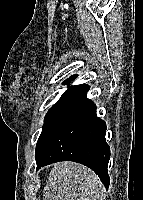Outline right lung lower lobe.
<instances>
[{
	"label": "right lung lower lobe",
	"mask_w": 143,
	"mask_h": 200,
	"mask_svg": "<svg viewBox=\"0 0 143 200\" xmlns=\"http://www.w3.org/2000/svg\"><path fill=\"white\" fill-rule=\"evenodd\" d=\"M88 90L85 84L68 86L46 114L36 145L37 170L58 161H75L91 168L108 188L110 148L105 140L106 124L97 117L95 104L86 97Z\"/></svg>",
	"instance_id": "98d812e1"
}]
</instances>
